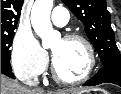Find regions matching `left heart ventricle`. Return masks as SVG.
Segmentation results:
<instances>
[{
  "label": "left heart ventricle",
  "instance_id": "b2bd125f",
  "mask_svg": "<svg viewBox=\"0 0 121 94\" xmlns=\"http://www.w3.org/2000/svg\"><path fill=\"white\" fill-rule=\"evenodd\" d=\"M51 49L57 70L63 78L74 79L84 74L88 56L81 42L59 39L53 43Z\"/></svg>",
  "mask_w": 121,
  "mask_h": 94
}]
</instances>
